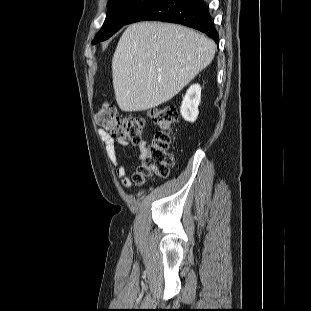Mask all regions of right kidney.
I'll list each match as a JSON object with an SVG mask.
<instances>
[{"label":"right kidney","mask_w":311,"mask_h":311,"mask_svg":"<svg viewBox=\"0 0 311 311\" xmlns=\"http://www.w3.org/2000/svg\"><path fill=\"white\" fill-rule=\"evenodd\" d=\"M201 99V87L199 84L191 85L187 90L181 107L180 113L182 117L189 122H194L199 114L198 106Z\"/></svg>","instance_id":"ca27d5eb"}]
</instances>
